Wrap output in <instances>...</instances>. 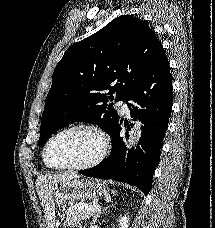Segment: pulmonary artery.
<instances>
[{
    "mask_svg": "<svg viewBox=\"0 0 215 228\" xmlns=\"http://www.w3.org/2000/svg\"><path fill=\"white\" fill-rule=\"evenodd\" d=\"M118 110L122 113H128L130 110V105H128V98L122 97L121 100L117 103Z\"/></svg>",
    "mask_w": 215,
    "mask_h": 228,
    "instance_id": "1",
    "label": "pulmonary artery"
}]
</instances>
